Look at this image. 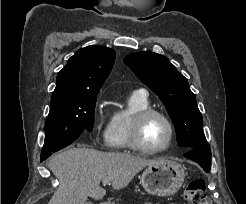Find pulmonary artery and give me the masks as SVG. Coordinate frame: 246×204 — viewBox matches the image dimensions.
<instances>
[{
    "label": "pulmonary artery",
    "mask_w": 246,
    "mask_h": 204,
    "mask_svg": "<svg viewBox=\"0 0 246 204\" xmlns=\"http://www.w3.org/2000/svg\"><path fill=\"white\" fill-rule=\"evenodd\" d=\"M134 93L140 94V95H146V91L144 89L136 90Z\"/></svg>",
    "instance_id": "obj_1"
}]
</instances>
